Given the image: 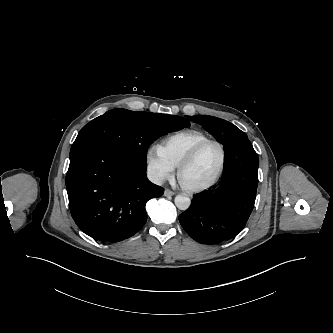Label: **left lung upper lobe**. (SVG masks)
Wrapping results in <instances>:
<instances>
[{
  "mask_svg": "<svg viewBox=\"0 0 333 333\" xmlns=\"http://www.w3.org/2000/svg\"><path fill=\"white\" fill-rule=\"evenodd\" d=\"M187 118L202 125L206 131L224 146L225 150L237 141L248 138L247 135L235 125L217 117L195 115L187 116Z\"/></svg>",
  "mask_w": 333,
  "mask_h": 333,
  "instance_id": "left-lung-upper-lobe-1",
  "label": "left lung upper lobe"
}]
</instances>
